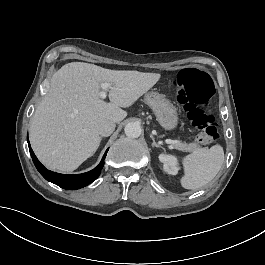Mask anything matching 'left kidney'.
Returning a JSON list of instances; mask_svg holds the SVG:
<instances>
[{
	"instance_id": "obj_1",
	"label": "left kidney",
	"mask_w": 265,
	"mask_h": 265,
	"mask_svg": "<svg viewBox=\"0 0 265 265\" xmlns=\"http://www.w3.org/2000/svg\"><path fill=\"white\" fill-rule=\"evenodd\" d=\"M160 162L163 163V170L170 174V175H176L179 170L178 166V160L173 155H167V154H160L159 155Z\"/></svg>"
}]
</instances>
